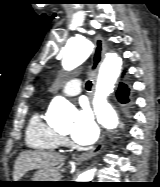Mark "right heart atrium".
<instances>
[{
	"instance_id": "d8ad5b80",
	"label": "right heart atrium",
	"mask_w": 160,
	"mask_h": 187,
	"mask_svg": "<svg viewBox=\"0 0 160 187\" xmlns=\"http://www.w3.org/2000/svg\"><path fill=\"white\" fill-rule=\"evenodd\" d=\"M61 140H62V145H67L68 144V141H67L66 138L61 137Z\"/></svg>"
}]
</instances>
